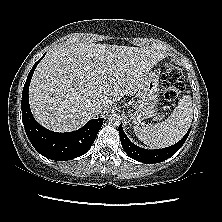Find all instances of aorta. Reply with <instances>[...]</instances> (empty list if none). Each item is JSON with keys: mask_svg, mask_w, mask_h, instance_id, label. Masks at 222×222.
<instances>
[{"mask_svg": "<svg viewBox=\"0 0 222 222\" xmlns=\"http://www.w3.org/2000/svg\"><path fill=\"white\" fill-rule=\"evenodd\" d=\"M121 116L116 113H112L109 117V123L114 126H119L121 123Z\"/></svg>", "mask_w": 222, "mask_h": 222, "instance_id": "1", "label": "aorta"}]
</instances>
